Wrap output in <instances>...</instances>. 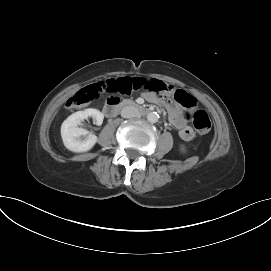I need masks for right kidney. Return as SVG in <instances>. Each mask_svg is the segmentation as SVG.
<instances>
[{
	"label": "right kidney",
	"mask_w": 271,
	"mask_h": 271,
	"mask_svg": "<svg viewBox=\"0 0 271 271\" xmlns=\"http://www.w3.org/2000/svg\"><path fill=\"white\" fill-rule=\"evenodd\" d=\"M92 117L97 125H101L104 115L97 109L88 108L70 115L61 126V136L65 147L72 152H86L93 148L97 142V136L88 134V131L79 128L81 122ZM85 137L82 139L81 137Z\"/></svg>",
	"instance_id": "obj_1"
}]
</instances>
